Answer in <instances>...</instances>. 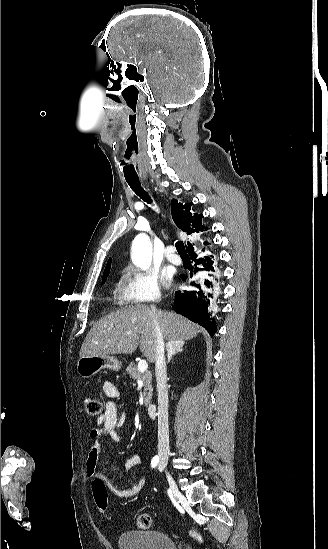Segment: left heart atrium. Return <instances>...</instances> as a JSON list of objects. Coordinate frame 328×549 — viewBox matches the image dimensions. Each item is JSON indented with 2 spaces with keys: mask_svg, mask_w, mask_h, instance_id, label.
Here are the masks:
<instances>
[{
  "mask_svg": "<svg viewBox=\"0 0 328 549\" xmlns=\"http://www.w3.org/2000/svg\"><path fill=\"white\" fill-rule=\"evenodd\" d=\"M169 282H170L169 277H168V276H165V277H164V283H165L166 285H168Z\"/></svg>",
  "mask_w": 328,
  "mask_h": 549,
  "instance_id": "1",
  "label": "left heart atrium"
}]
</instances>
